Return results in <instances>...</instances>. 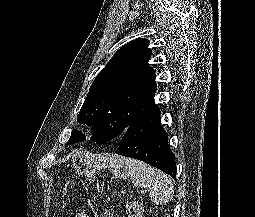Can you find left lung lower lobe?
<instances>
[{
    "label": "left lung lower lobe",
    "instance_id": "1",
    "mask_svg": "<svg viewBox=\"0 0 255 217\" xmlns=\"http://www.w3.org/2000/svg\"><path fill=\"white\" fill-rule=\"evenodd\" d=\"M116 154L141 160L176 179L175 156L168 145V134L161 126L160 109L153 103L120 140Z\"/></svg>",
    "mask_w": 255,
    "mask_h": 217
}]
</instances>
